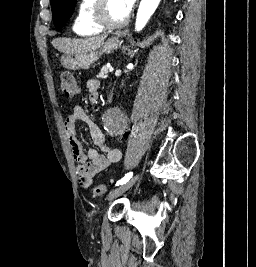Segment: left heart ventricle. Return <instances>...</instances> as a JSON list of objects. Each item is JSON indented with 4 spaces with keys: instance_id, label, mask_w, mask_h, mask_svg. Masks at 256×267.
<instances>
[{
    "instance_id": "left-heart-ventricle-1",
    "label": "left heart ventricle",
    "mask_w": 256,
    "mask_h": 267,
    "mask_svg": "<svg viewBox=\"0 0 256 267\" xmlns=\"http://www.w3.org/2000/svg\"><path fill=\"white\" fill-rule=\"evenodd\" d=\"M106 17L110 25L119 26L123 21V16L117 4L112 0L108 3L106 10Z\"/></svg>"
}]
</instances>
